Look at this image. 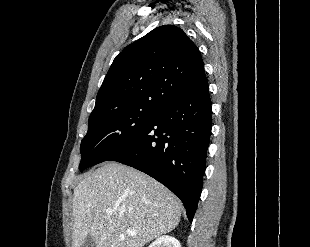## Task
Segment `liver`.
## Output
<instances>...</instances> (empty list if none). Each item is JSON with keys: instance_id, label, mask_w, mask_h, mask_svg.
Here are the masks:
<instances>
[{"instance_id": "obj_1", "label": "liver", "mask_w": 310, "mask_h": 247, "mask_svg": "<svg viewBox=\"0 0 310 247\" xmlns=\"http://www.w3.org/2000/svg\"><path fill=\"white\" fill-rule=\"evenodd\" d=\"M182 207L147 174L117 162L104 163L74 189L72 247H81L88 235L96 247H143L175 229ZM128 229L137 234L129 235Z\"/></svg>"}]
</instances>
